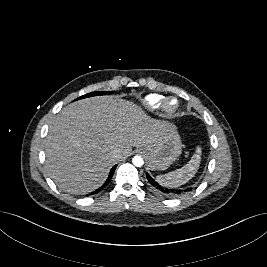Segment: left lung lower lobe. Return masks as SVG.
<instances>
[{"mask_svg":"<svg viewBox=\"0 0 267 267\" xmlns=\"http://www.w3.org/2000/svg\"><path fill=\"white\" fill-rule=\"evenodd\" d=\"M146 177L148 179V182L152 185V187H154L156 190H158L159 192L167 196H178V195L184 194L187 191L192 190L191 188H187V189L168 188V187L160 185L148 173H146Z\"/></svg>","mask_w":267,"mask_h":267,"instance_id":"0a47b994","label":"left lung lower lobe"}]
</instances>
